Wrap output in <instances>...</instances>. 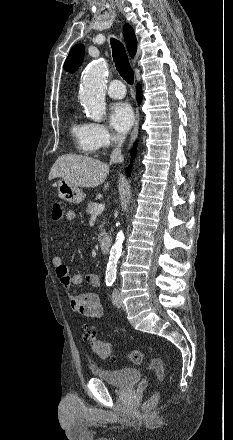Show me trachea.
<instances>
[{"label": "trachea", "mask_w": 233, "mask_h": 440, "mask_svg": "<svg viewBox=\"0 0 233 440\" xmlns=\"http://www.w3.org/2000/svg\"><path fill=\"white\" fill-rule=\"evenodd\" d=\"M112 56L121 77L130 85L134 81V73L130 66L126 50L121 42L111 39Z\"/></svg>", "instance_id": "3493384b"}]
</instances>
